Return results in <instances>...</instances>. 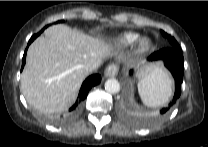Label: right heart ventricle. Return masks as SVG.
Listing matches in <instances>:
<instances>
[{
    "instance_id": "obj_1",
    "label": "right heart ventricle",
    "mask_w": 208,
    "mask_h": 147,
    "mask_svg": "<svg viewBox=\"0 0 208 147\" xmlns=\"http://www.w3.org/2000/svg\"><path fill=\"white\" fill-rule=\"evenodd\" d=\"M139 38V33L126 31L114 37L113 42L122 48H128L133 46Z\"/></svg>"
}]
</instances>
